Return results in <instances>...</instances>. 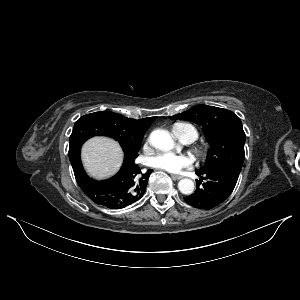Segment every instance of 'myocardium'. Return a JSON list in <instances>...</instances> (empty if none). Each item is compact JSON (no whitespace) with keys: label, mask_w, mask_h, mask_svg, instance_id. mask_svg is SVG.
<instances>
[{"label":"myocardium","mask_w":300,"mask_h":300,"mask_svg":"<svg viewBox=\"0 0 300 300\" xmlns=\"http://www.w3.org/2000/svg\"><path fill=\"white\" fill-rule=\"evenodd\" d=\"M207 153V149L205 147H200L197 149V154L200 156V157H204Z\"/></svg>","instance_id":"myocardium-1"}]
</instances>
